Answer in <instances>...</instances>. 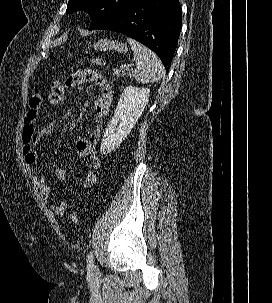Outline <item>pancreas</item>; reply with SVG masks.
<instances>
[{"label": "pancreas", "mask_w": 272, "mask_h": 303, "mask_svg": "<svg viewBox=\"0 0 272 303\" xmlns=\"http://www.w3.org/2000/svg\"><path fill=\"white\" fill-rule=\"evenodd\" d=\"M113 73L115 74V75H120V73H121V71H119V70H117V69H114L113 70ZM123 75H124V73H122Z\"/></svg>", "instance_id": "pancreas-1"}]
</instances>
